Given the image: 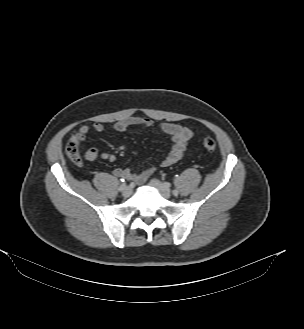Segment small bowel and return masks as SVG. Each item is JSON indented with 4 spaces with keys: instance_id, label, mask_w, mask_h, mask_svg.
Masks as SVG:
<instances>
[{
    "instance_id": "c3829d8e",
    "label": "small bowel",
    "mask_w": 304,
    "mask_h": 329,
    "mask_svg": "<svg viewBox=\"0 0 304 329\" xmlns=\"http://www.w3.org/2000/svg\"><path fill=\"white\" fill-rule=\"evenodd\" d=\"M151 125L152 121L147 117L131 116L115 122L111 126V128L117 132H124L131 126L149 127ZM159 127L161 131L168 135L173 142L170 152L162 160L163 166H170L182 158V156L187 150V144L193 136V132L189 128L169 122H163L160 124ZM91 129L96 132H102L104 130V125L101 123H94L91 127L88 125H82L81 127H79L76 134L80 142L85 140ZM85 158L87 161L90 162L96 161L99 158L108 160L110 162H113L116 159L114 154L100 153L98 149L94 147L89 148L86 151ZM155 170L156 167L154 165H149L140 172H133L130 169L118 168L114 170V174L119 178L128 179L140 184L145 182L149 178V176H151L155 172Z\"/></svg>"
}]
</instances>
